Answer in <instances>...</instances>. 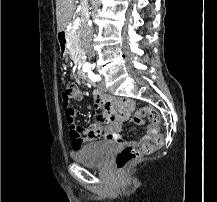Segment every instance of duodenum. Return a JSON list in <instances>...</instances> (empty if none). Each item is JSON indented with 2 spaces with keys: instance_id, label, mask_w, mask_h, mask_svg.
I'll use <instances>...</instances> for the list:
<instances>
[{
  "instance_id": "1",
  "label": "duodenum",
  "mask_w": 217,
  "mask_h": 202,
  "mask_svg": "<svg viewBox=\"0 0 217 202\" xmlns=\"http://www.w3.org/2000/svg\"><path fill=\"white\" fill-rule=\"evenodd\" d=\"M66 38H67L66 30H64V29L60 30L58 32V34H57V40H58V45H59L60 57L61 58H66L67 57ZM78 76L83 82H86V83L90 84L91 86L95 85L94 81L90 78L89 74H86L83 70H80L78 72Z\"/></svg>"
}]
</instances>
